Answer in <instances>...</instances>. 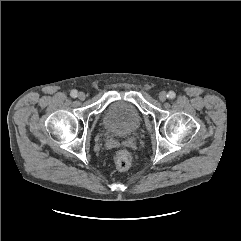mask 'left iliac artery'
<instances>
[{"instance_id": "left-iliac-artery-1", "label": "left iliac artery", "mask_w": 241, "mask_h": 241, "mask_svg": "<svg viewBox=\"0 0 241 241\" xmlns=\"http://www.w3.org/2000/svg\"><path fill=\"white\" fill-rule=\"evenodd\" d=\"M175 97H176L175 92H173V91H169V92H168L167 98H169V99H174Z\"/></svg>"}]
</instances>
